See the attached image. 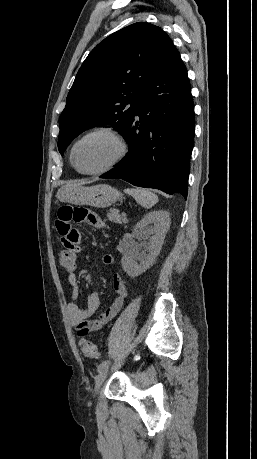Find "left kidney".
Instances as JSON below:
<instances>
[{"label": "left kidney", "instance_id": "1", "mask_svg": "<svg viewBox=\"0 0 257 459\" xmlns=\"http://www.w3.org/2000/svg\"><path fill=\"white\" fill-rule=\"evenodd\" d=\"M170 221L169 212L158 210L143 216L133 227L134 236L139 239H148L149 242L144 248L134 241H129L123 246L121 263L124 271L130 277L139 276L153 265L160 253ZM135 260H139L140 263H136Z\"/></svg>", "mask_w": 257, "mask_h": 459}]
</instances>
